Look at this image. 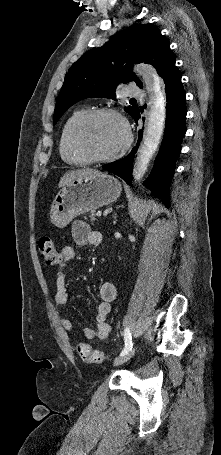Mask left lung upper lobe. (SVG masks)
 Here are the masks:
<instances>
[{"label": "left lung upper lobe", "instance_id": "left-lung-upper-lobe-1", "mask_svg": "<svg viewBox=\"0 0 221 455\" xmlns=\"http://www.w3.org/2000/svg\"><path fill=\"white\" fill-rule=\"evenodd\" d=\"M141 62L153 65L160 76L175 64L168 40L151 24L134 25L106 45L83 54L65 76L55 106L54 124L69 107L82 99L107 97L116 100L118 85L131 81L142 88V83L132 73L133 64ZM125 111L134 117L139 108L129 106Z\"/></svg>", "mask_w": 221, "mask_h": 455}]
</instances>
